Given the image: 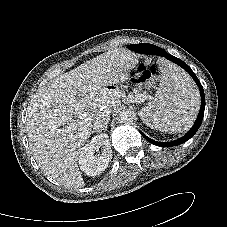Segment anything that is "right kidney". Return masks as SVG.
Listing matches in <instances>:
<instances>
[{
	"label": "right kidney",
	"mask_w": 227,
	"mask_h": 227,
	"mask_svg": "<svg viewBox=\"0 0 227 227\" xmlns=\"http://www.w3.org/2000/svg\"><path fill=\"white\" fill-rule=\"evenodd\" d=\"M101 148V153L95 155ZM112 159V150L107 134L95 136L86 144L79 156L80 169L88 176H97L104 171Z\"/></svg>",
	"instance_id": "1"
}]
</instances>
